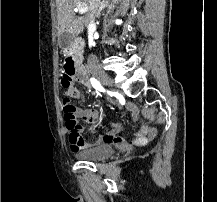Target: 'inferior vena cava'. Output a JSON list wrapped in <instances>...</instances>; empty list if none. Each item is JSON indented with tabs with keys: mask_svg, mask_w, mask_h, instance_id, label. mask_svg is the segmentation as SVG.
<instances>
[{
	"mask_svg": "<svg viewBox=\"0 0 217 202\" xmlns=\"http://www.w3.org/2000/svg\"><path fill=\"white\" fill-rule=\"evenodd\" d=\"M88 4V20L89 22H93L94 14H96L100 0H88Z\"/></svg>",
	"mask_w": 217,
	"mask_h": 202,
	"instance_id": "602c4592",
	"label": "inferior vena cava"
}]
</instances>
